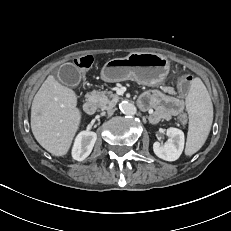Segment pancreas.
<instances>
[{
  "label": "pancreas",
  "mask_w": 231,
  "mask_h": 231,
  "mask_svg": "<svg viewBox=\"0 0 231 231\" xmlns=\"http://www.w3.org/2000/svg\"><path fill=\"white\" fill-rule=\"evenodd\" d=\"M90 96L97 103L98 107L103 110L114 107L119 101L118 95L108 90H104V91L94 90L90 93Z\"/></svg>",
  "instance_id": "pancreas-1"
}]
</instances>
